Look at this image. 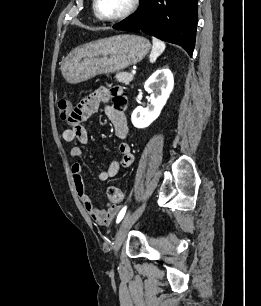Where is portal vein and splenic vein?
<instances>
[{"mask_svg":"<svg viewBox=\"0 0 261 306\" xmlns=\"http://www.w3.org/2000/svg\"><path fill=\"white\" fill-rule=\"evenodd\" d=\"M132 74H136V71H135V70H132Z\"/></svg>","mask_w":261,"mask_h":306,"instance_id":"1","label":"portal vein and splenic vein"}]
</instances>
